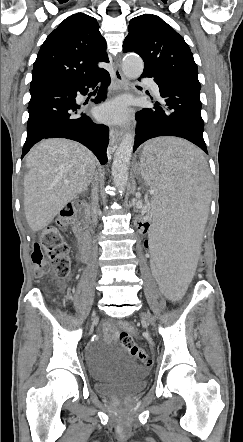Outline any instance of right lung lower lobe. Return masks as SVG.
<instances>
[{
    "mask_svg": "<svg viewBox=\"0 0 243 442\" xmlns=\"http://www.w3.org/2000/svg\"><path fill=\"white\" fill-rule=\"evenodd\" d=\"M100 81L99 93L93 100L100 103L105 99L104 90L110 84L106 70L81 81H48L30 86L27 138L22 158L43 138L59 137L82 143L97 156L101 164H105L109 129L82 114L75 99L78 93L86 94L88 88L96 86Z\"/></svg>",
    "mask_w": 243,
    "mask_h": 442,
    "instance_id": "1",
    "label": "right lung lower lobe"
}]
</instances>
